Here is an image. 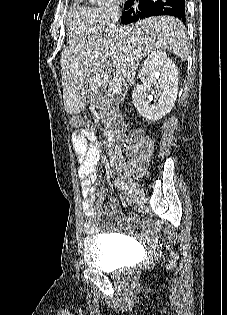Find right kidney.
<instances>
[{
    "label": "right kidney",
    "mask_w": 227,
    "mask_h": 315,
    "mask_svg": "<svg viewBox=\"0 0 227 315\" xmlns=\"http://www.w3.org/2000/svg\"><path fill=\"white\" fill-rule=\"evenodd\" d=\"M141 85L133 92V103L146 120L157 121L171 111L178 94V69L161 49L153 50L140 72ZM157 87L154 91L152 87Z\"/></svg>",
    "instance_id": "right-kidney-1"
}]
</instances>
